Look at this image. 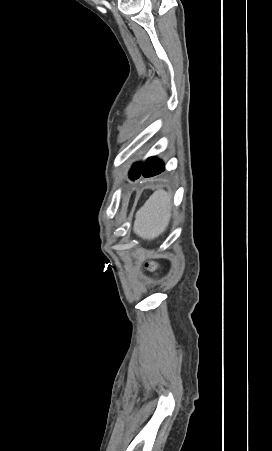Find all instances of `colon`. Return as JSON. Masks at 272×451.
I'll return each instance as SVG.
<instances>
[{
  "label": "colon",
  "instance_id": "5ec220e1",
  "mask_svg": "<svg viewBox=\"0 0 272 451\" xmlns=\"http://www.w3.org/2000/svg\"><path fill=\"white\" fill-rule=\"evenodd\" d=\"M145 267L148 268V269L149 268L150 269H154L156 267V265L151 263V262H149V261H145Z\"/></svg>",
  "mask_w": 272,
  "mask_h": 451
}]
</instances>
